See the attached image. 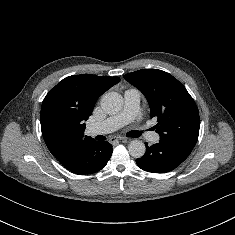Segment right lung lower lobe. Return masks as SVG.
I'll return each mask as SVG.
<instances>
[{"label":"right lung lower lobe","instance_id":"98d812e1","mask_svg":"<svg viewBox=\"0 0 235 235\" xmlns=\"http://www.w3.org/2000/svg\"><path fill=\"white\" fill-rule=\"evenodd\" d=\"M111 155L110 143L93 139L81 145L72 158L62 165L77 174H91L104 168Z\"/></svg>","mask_w":235,"mask_h":235}]
</instances>
